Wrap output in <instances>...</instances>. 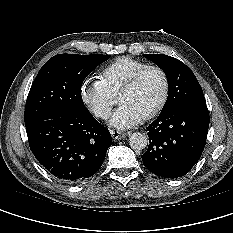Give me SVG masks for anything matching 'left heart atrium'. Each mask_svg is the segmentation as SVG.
<instances>
[{"label":"left heart atrium","mask_w":233,"mask_h":233,"mask_svg":"<svg viewBox=\"0 0 233 233\" xmlns=\"http://www.w3.org/2000/svg\"><path fill=\"white\" fill-rule=\"evenodd\" d=\"M142 120V116L131 106L122 104L112 115L110 125L124 129L137 125Z\"/></svg>","instance_id":"left-heart-atrium-1"}]
</instances>
